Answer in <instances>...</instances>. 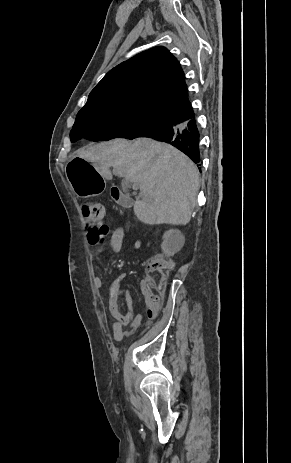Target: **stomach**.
<instances>
[{
	"label": "stomach",
	"instance_id": "obj_1",
	"mask_svg": "<svg viewBox=\"0 0 291 463\" xmlns=\"http://www.w3.org/2000/svg\"><path fill=\"white\" fill-rule=\"evenodd\" d=\"M66 181L81 198L98 195L104 189L103 177L85 157H70L66 163Z\"/></svg>",
	"mask_w": 291,
	"mask_h": 463
}]
</instances>
